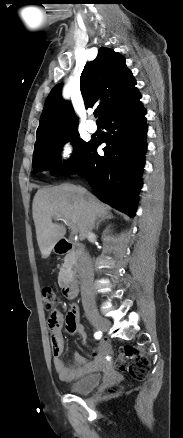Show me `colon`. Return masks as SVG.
I'll return each mask as SVG.
<instances>
[{"instance_id": "colon-1", "label": "colon", "mask_w": 183, "mask_h": 438, "mask_svg": "<svg viewBox=\"0 0 183 438\" xmlns=\"http://www.w3.org/2000/svg\"><path fill=\"white\" fill-rule=\"evenodd\" d=\"M42 298L46 309L51 310L57 303V294L50 286H44L42 288ZM116 365L119 370L129 373L134 379L143 380L149 372L148 359L138 353L132 347H126L124 351L119 355ZM120 389L119 386H115L110 390V393L116 392Z\"/></svg>"}]
</instances>
